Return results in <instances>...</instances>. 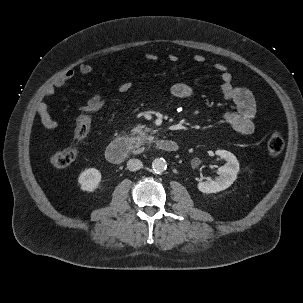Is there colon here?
I'll use <instances>...</instances> for the list:
<instances>
[{
    "label": "colon",
    "mask_w": 303,
    "mask_h": 303,
    "mask_svg": "<svg viewBox=\"0 0 303 303\" xmlns=\"http://www.w3.org/2000/svg\"><path fill=\"white\" fill-rule=\"evenodd\" d=\"M105 96L92 97L77 118L71 144L60 151L50 155L49 161L54 170H62L68 167L77 157L80 143L88 135L93 116L98 113L105 104ZM284 148V140L279 132H273L267 142V154L270 158H277Z\"/></svg>",
    "instance_id": "1"
}]
</instances>
